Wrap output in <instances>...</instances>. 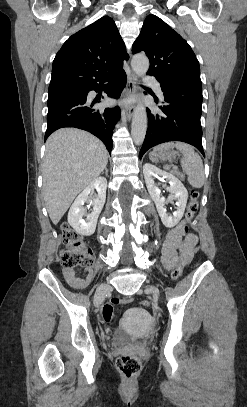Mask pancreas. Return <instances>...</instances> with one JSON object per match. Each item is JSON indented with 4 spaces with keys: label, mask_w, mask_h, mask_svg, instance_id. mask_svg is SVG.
<instances>
[{
    "label": "pancreas",
    "mask_w": 247,
    "mask_h": 407,
    "mask_svg": "<svg viewBox=\"0 0 247 407\" xmlns=\"http://www.w3.org/2000/svg\"><path fill=\"white\" fill-rule=\"evenodd\" d=\"M181 179H184V176L180 173H176Z\"/></svg>",
    "instance_id": "pancreas-1"
}]
</instances>
